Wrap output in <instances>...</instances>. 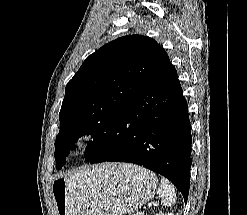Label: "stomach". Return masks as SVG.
<instances>
[{"label":"stomach","mask_w":247,"mask_h":215,"mask_svg":"<svg viewBox=\"0 0 247 215\" xmlns=\"http://www.w3.org/2000/svg\"><path fill=\"white\" fill-rule=\"evenodd\" d=\"M102 167L52 181L57 215H125L154 197V173L131 164H113L111 172Z\"/></svg>","instance_id":"1"}]
</instances>
